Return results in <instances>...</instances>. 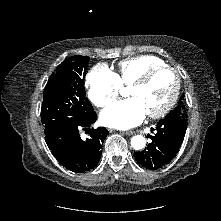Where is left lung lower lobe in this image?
<instances>
[{
    "instance_id": "left-lung-lower-lobe-1",
    "label": "left lung lower lobe",
    "mask_w": 221,
    "mask_h": 221,
    "mask_svg": "<svg viewBox=\"0 0 221 221\" xmlns=\"http://www.w3.org/2000/svg\"><path fill=\"white\" fill-rule=\"evenodd\" d=\"M186 129L187 118L179 114L165 116L157 122L156 133L148 135L152 142L145 150L135 153L136 161L147 169L156 170L165 166L179 151Z\"/></svg>"
}]
</instances>
